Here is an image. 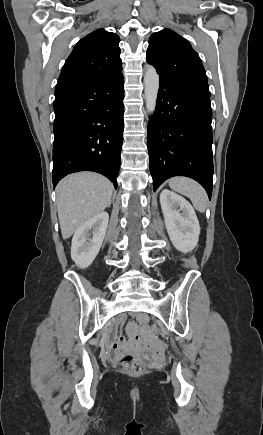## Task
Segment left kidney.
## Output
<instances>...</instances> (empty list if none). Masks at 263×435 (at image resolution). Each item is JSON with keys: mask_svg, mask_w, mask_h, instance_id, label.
Segmentation results:
<instances>
[{"mask_svg": "<svg viewBox=\"0 0 263 435\" xmlns=\"http://www.w3.org/2000/svg\"><path fill=\"white\" fill-rule=\"evenodd\" d=\"M160 204L169 238L174 247L187 253L198 244L200 226L192 205L182 196L164 189Z\"/></svg>", "mask_w": 263, "mask_h": 435, "instance_id": "5707ae66", "label": "left kidney"}]
</instances>
